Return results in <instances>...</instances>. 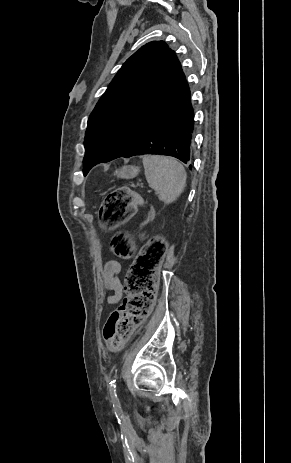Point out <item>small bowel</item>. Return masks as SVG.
<instances>
[{
	"label": "small bowel",
	"mask_w": 291,
	"mask_h": 463,
	"mask_svg": "<svg viewBox=\"0 0 291 463\" xmlns=\"http://www.w3.org/2000/svg\"><path fill=\"white\" fill-rule=\"evenodd\" d=\"M122 268L117 260H107L103 265L102 278L106 288L112 293L107 299L109 304H115L122 298L123 286L119 278Z\"/></svg>",
	"instance_id": "small-bowel-1"
}]
</instances>
